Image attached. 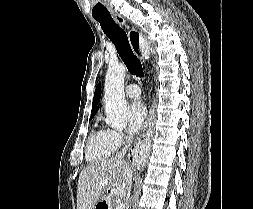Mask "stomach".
I'll list each match as a JSON object with an SVG mask.
<instances>
[{
  "label": "stomach",
  "instance_id": "1",
  "mask_svg": "<svg viewBox=\"0 0 253 209\" xmlns=\"http://www.w3.org/2000/svg\"><path fill=\"white\" fill-rule=\"evenodd\" d=\"M104 188L105 191H100V196L99 199H97V204L94 209H114V202H112L111 196L114 190L110 185H105Z\"/></svg>",
  "mask_w": 253,
  "mask_h": 209
}]
</instances>
